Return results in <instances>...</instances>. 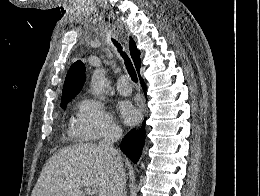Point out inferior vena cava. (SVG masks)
Masks as SVG:
<instances>
[{
    "instance_id": "obj_1",
    "label": "inferior vena cava",
    "mask_w": 260,
    "mask_h": 196,
    "mask_svg": "<svg viewBox=\"0 0 260 196\" xmlns=\"http://www.w3.org/2000/svg\"><path fill=\"white\" fill-rule=\"evenodd\" d=\"M120 136L121 132H118V130H110V132L104 136V140L98 144L99 150H103L104 154H111V156H113V162L117 166V172L114 176L113 186L109 196H125L126 180L123 158L113 146L114 142H117Z\"/></svg>"
}]
</instances>
